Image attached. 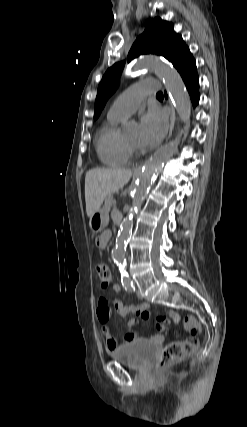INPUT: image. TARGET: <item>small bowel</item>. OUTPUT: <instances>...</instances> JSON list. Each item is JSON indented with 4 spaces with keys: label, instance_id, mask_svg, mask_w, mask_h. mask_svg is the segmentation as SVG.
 <instances>
[{
    "label": "small bowel",
    "instance_id": "1",
    "mask_svg": "<svg viewBox=\"0 0 247 427\" xmlns=\"http://www.w3.org/2000/svg\"><path fill=\"white\" fill-rule=\"evenodd\" d=\"M111 238V232L105 231L103 232L97 239L96 244L99 248H105L107 243L109 242ZM113 290L119 294L121 292V287L118 284H114L112 286ZM112 309L115 310L117 314L120 316H128V315H138L142 320H149L150 319V310H149V304L148 303H139L136 305H124L120 297H116L112 300L111 304L108 301V299L102 297L98 301V307H97V318L99 322L102 324L101 331L106 339V345L107 348L110 351H116L119 348L124 347L128 343L134 341L137 336L132 331V327L137 323L136 319H132L127 324V330L124 335L123 340L118 343L115 338L112 336L111 330L109 326L107 325V322L110 318ZM169 318L173 320L174 322H178L180 320V316L178 313H176L173 310H169L166 312L165 315H161L157 318L156 322V328L158 333L151 337V339L155 341H161L163 339L162 332L164 331L166 325L169 322Z\"/></svg>",
    "mask_w": 247,
    "mask_h": 427
}]
</instances>
